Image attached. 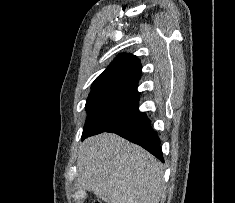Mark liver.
I'll use <instances>...</instances> for the list:
<instances>
[{"label": "liver", "instance_id": "liver-1", "mask_svg": "<svg viewBox=\"0 0 235 203\" xmlns=\"http://www.w3.org/2000/svg\"><path fill=\"white\" fill-rule=\"evenodd\" d=\"M78 181L106 203H159L164 168L149 152L112 133L86 139L77 161Z\"/></svg>", "mask_w": 235, "mask_h": 203}]
</instances>
